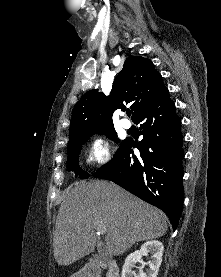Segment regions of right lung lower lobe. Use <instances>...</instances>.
Listing matches in <instances>:
<instances>
[{
	"instance_id": "98d812e1",
	"label": "right lung lower lobe",
	"mask_w": 221,
	"mask_h": 277,
	"mask_svg": "<svg viewBox=\"0 0 221 277\" xmlns=\"http://www.w3.org/2000/svg\"><path fill=\"white\" fill-rule=\"evenodd\" d=\"M140 124L142 141L121 142L113 159L94 174L111 180L160 208L176 229L183 208V135L168 89L133 120ZM140 151L135 156L133 148Z\"/></svg>"
}]
</instances>
